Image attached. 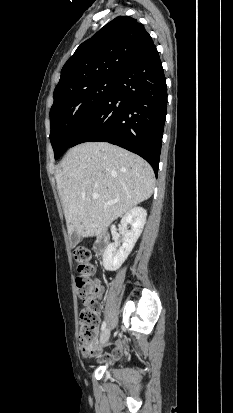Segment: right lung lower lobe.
Segmentation results:
<instances>
[{"label":"right lung lower lobe","instance_id":"obj_1","mask_svg":"<svg viewBox=\"0 0 233 413\" xmlns=\"http://www.w3.org/2000/svg\"><path fill=\"white\" fill-rule=\"evenodd\" d=\"M167 107L166 80L153 45L115 77L111 93L76 137L109 142L144 158L157 177Z\"/></svg>","mask_w":233,"mask_h":413}]
</instances>
